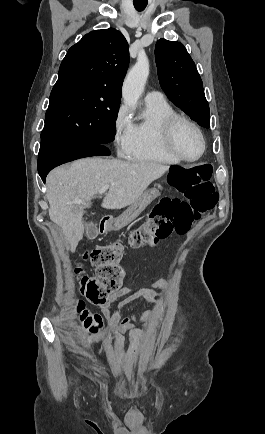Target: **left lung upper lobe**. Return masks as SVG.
<instances>
[{"label":"left lung upper lobe","mask_w":265,"mask_h":434,"mask_svg":"<svg viewBox=\"0 0 265 434\" xmlns=\"http://www.w3.org/2000/svg\"><path fill=\"white\" fill-rule=\"evenodd\" d=\"M159 82L167 97L191 119L209 128L210 110L202 80L185 47L160 39L155 46Z\"/></svg>","instance_id":"1"}]
</instances>
